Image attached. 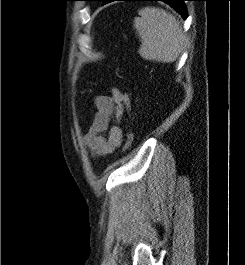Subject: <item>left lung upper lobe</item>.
<instances>
[{
    "mask_svg": "<svg viewBox=\"0 0 245 265\" xmlns=\"http://www.w3.org/2000/svg\"><path fill=\"white\" fill-rule=\"evenodd\" d=\"M88 1H105V0H88Z\"/></svg>",
    "mask_w": 245,
    "mask_h": 265,
    "instance_id": "obj_1",
    "label": "left lung upper lobe"
}]
</instances>
